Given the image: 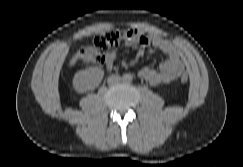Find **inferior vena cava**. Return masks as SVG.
<instances>
[{
    "label": "inferior vena cava",
    "mask_w": 243,
    "mask_h": 167,
    "mask_svg": "<svg viewBox=\"0 0 243 167\" xmlns=\"http://www.w3.org/2000/svg\"><path fill=\"white\" fill-rule=\"evenodd\" d=\"M120 81H121V77L118 76V75H111V76L108 78V80H107V82H108L109 85L117 84V83H119Z\"/></svg>",
    "instance_id": "1"
}]
</instances>
